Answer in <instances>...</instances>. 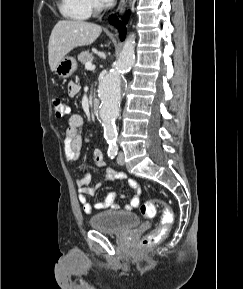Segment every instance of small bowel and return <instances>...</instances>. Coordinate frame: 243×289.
<instances>
[{
	"label": "small bowel",
	"instance_id": "1",
	"mask_svg": "<svg viewBox=\"0 0 243 289\" xmlns=\"http://www.w3.org/2000/svg\"><path fill=\"white\" fill-rule=\"evenodd\" d=\"M79 84L77 82H70L68 84V94L74 97L79 92ZM84 124V119L80 114H71L68 119V127L63 136V151L67 161L76 162L80 158V151L83 146V138L81 134V129ZM93 163L99 168L103 169L106 166L102 152L99 149L93 152ZM126 178V175L114 168H107L105 170V181L121 180ZM91 177L88 171H83V173L77 178V186L79 191V202L86 214H91L93 209L103 210L107 208L119 209L120 206L117 203L118 196L114 192H110L105 197L104 201L97 202L92 205L89 201V197L93 196L97 188L101 184L96 186H91ZM128 185L133 190L134 195L129 204L125 205V209L131 211L138 207L140 203L141 187L135 179H128ZM124 197V196H122Z\"/></svg>",
	"mask_w": 243,
	"mask_h": 289
}]
</instances>
